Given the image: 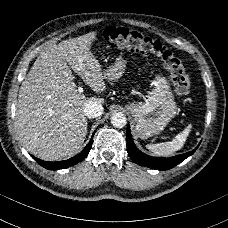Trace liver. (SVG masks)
I'll return each mask as SVG.
<instances>
[{"mask_svg": "<svg viewBox=\"0 0 228 228\" xmlns=\"http://www.w3.org/2000/svg\"><path fill=\"white\" fill-rule=\"evenodd\" d=\"M97 32L49 45L34 62L21 83L16 110V127L23 146L43 160L66 159L79 151L87 135V98L74 82L69 65L90 89L104 93L105 73L91 46ZM69 63V65L67 64Z\"/></svg>", "mask_w": 228, "mask_h": 228, "instance_id": "liver-1", "label": "liver"}]
</instances>
